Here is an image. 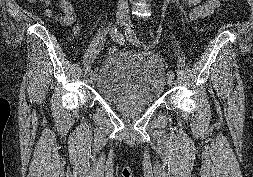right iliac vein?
<instances>
[{"label": "right iliac vein", "instance_id": "63e3f726", "mask_svg": "<svg viewBox=\"0 0 253 177\" xmlns=\"http://www.w3.org/2000/svg\"><path fill=\"white\" fill-rule=\"evenodd\" d=\"M116 19L119 25H124L126 18H125V11L123 9H118L116 13ZM96 73L92 72L90 73V83H94L96 80Z\"/></svg>", "mask_w": 253, "mask_h": 177}]
</instances>
